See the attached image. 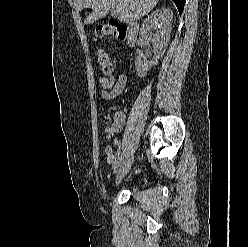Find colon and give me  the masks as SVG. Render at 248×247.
<instances>
[{
	"instance_id": "5ec220e1",
	"label": "colon",
	"mask_w": 248,
	"mask_h": 247,
	"mask_svg": "<svg viewBox=\"0 0 248 247\" xmlns=\"http://www.w3.org/2000/svg\"><path fill=\"white\" fill-rule=\"evenodd\" d=\"M106 36H113L120 40L126 39V27L123 23L117 20H109L107 23L99 25L95 31L96 38H102ZM98 61L103 73L106 75H112L114 73V67L109 60L107 54L103 50H99Z\"/></svg>"
}]
</instances>
